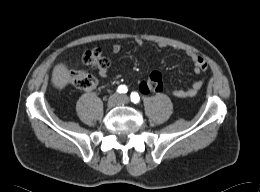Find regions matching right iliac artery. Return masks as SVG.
Segmentation results:
<instances>
[{
	"mask_svg": "<svg viewBox=\"0 0 260 192\" xmlns=\"http://www.w3.org/2000/svg\"><path fill=\"white\" fill-rule=\"evenodd\" d=\"M128 91V88H127V86L126 85H120L119 87H118V89H117V92L118 93H126Z\"/></svg>",
	"mask_w": 260,
	"mask_h": 192,
	"instance_id": "right-iliac-artery-1",
	"label": "right iliac artery"
}]
</instances>
